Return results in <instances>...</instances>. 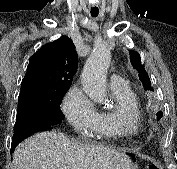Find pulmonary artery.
Here are the masks:
<instances>
[{
	"label": "pulmonary artery",
	"mask_w": 177,
	"mask_h": 169,
	"mask_svg": "<svg viewBox=\"0 0 177 169\" xmlns=\"http://www.w3.org/2000/svg\"><path fill=\"white\" fill-rule=\"evenodd\" d=\"M111 90H122L127 86V82L117 74H111L110 76Z\"/></svg>",
	"instance_id": "pulmonary-artery-1"
}]
</instances>
